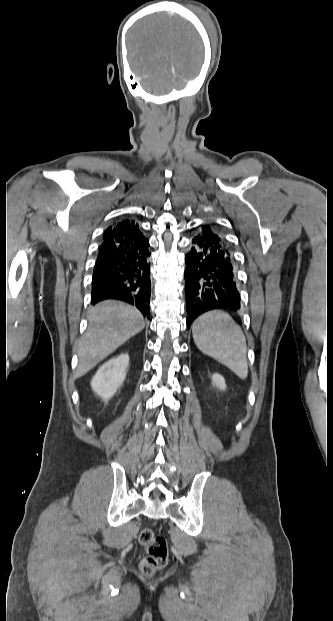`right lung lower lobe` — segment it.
<instances>
[{
  "label": "right lung lower lobe",
  "mask_w": 333,
  "mask_h": 621,
  "mask_svg": "<svg viewBox=\"0 0 333 621\" xmlns=\"http://www.w3.org/2000/svg\"><path fill=\"white\" fill-rule=\"evenodd\" d=\"M149 256L148 245L127 247L115 241L103 242L93 271L91 303L122 300L149 317Z\"/></svg>",
  "instance_id": "1"
}]
</instances>
